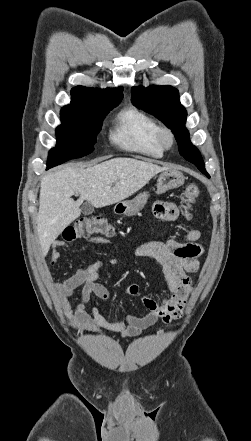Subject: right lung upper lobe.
Returning <instances> with one entry per match:
<instances>
[{
  "label": "right lung upper lobe",
  "mask_w": 251,
  "mask_h": 441,
  "mask_svg": "<svg viewBox=\"0 0 251 441\" xmlns=\"http://www.w3.org/2000/svg\"><path fill=\"white\" fill-rule=\"evenodd\" d=\"M123 88L118 89H95L77 86L71 90V104L62 108L61 112H73L79 109L81 104L89 100L121 101Z\"/></svg>",
  "instance_id": "1"
}]
</instances>
